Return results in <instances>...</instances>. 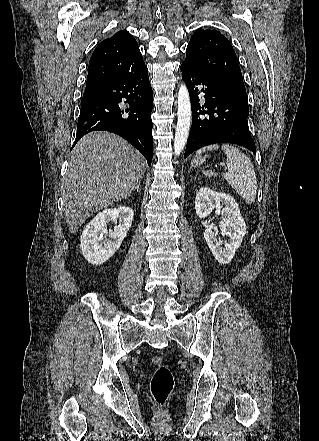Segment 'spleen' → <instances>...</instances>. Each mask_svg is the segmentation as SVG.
Here are the masks:
<instances>
[{"label":"spleen","mask_w":319,"mask_h":441,"mask_svg":"<svg viewBox=\"0 0 319 441\" xmlns=\"http://www.w3.org/2000/svg\"><path fill=\"white\" fill-rule=\"evenodd\" d=\"M218 148L219 145H210L199 149L197 154ZM221 149L226 154V165L228 168V171L222 175L223 178L226 179L246 203H254L257 193V177L250 159L233 145L223 144ZM203 173L208 177L217 175V173L212 171H203Z\"/></svg>","instance_id":"1"}]
</instances>
